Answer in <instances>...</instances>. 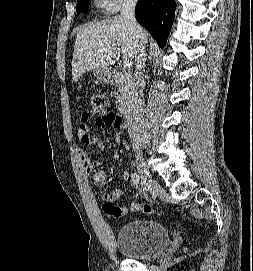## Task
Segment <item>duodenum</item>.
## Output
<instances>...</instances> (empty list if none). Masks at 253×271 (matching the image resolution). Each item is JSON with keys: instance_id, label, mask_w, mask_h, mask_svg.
Returning a JSON list of instances; mask_svg holds the SVG:
<instances>
[{"instance_id": "1", "label": "duodenum", "mask_w": 253, "mask_h": 271, "mask_svg": "<svg viewBox=\"0 0 253 271\" xmlns=\"http://www.w3.org/2000/svg\"><path fill=\"white\" fill-rule=\"evenodd\" d=\"M133 120V110L130 106H125L120 109L116 122L122 127L128 126Z\"/></svg>"}]
</instances>
